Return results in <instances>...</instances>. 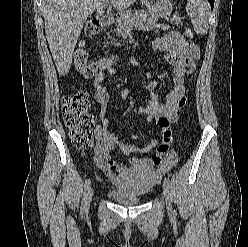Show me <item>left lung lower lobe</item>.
I'll use <instances>...</instances> for the list:
<instances>
[{
	"mask_svg": "<svg viewBox=\"0 0 248 247\" xmlns=\"http://www.w3.org/2000/svg\"><path fill=\"white\" fill-rule=\"evenodd\" d=\"M210 5H211V8L213 9V6H214V0H208Z\"/></svg>",
	"mask_w": 248,
	"mask_h": 247,
	"instance_id": "1",
	"label": "left lung lower lobe"
}]
</instances>
